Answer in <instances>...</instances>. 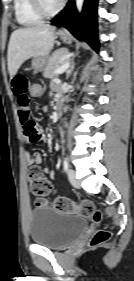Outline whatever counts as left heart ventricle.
Here are the masks:
<instances>
[{"instance_id": "1", "label": "left heart ventricle", "mask_w": 134, "mask_h": 281, "mask_svg": "<svg viewBox=\"0 0 134 281\" xmlns=\"http://www.w3.org/2000/svg\"><path fill=\"white\" fill-rule=\"evenodd\" d=\"M44 2L47 5V7L53 8V7H55L57 5L59 0H44Z\"/></svg>"}]
</instances>
